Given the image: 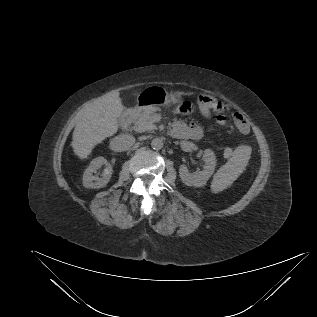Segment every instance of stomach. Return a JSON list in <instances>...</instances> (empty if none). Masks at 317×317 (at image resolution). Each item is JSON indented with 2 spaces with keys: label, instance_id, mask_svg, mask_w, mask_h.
<instances>
[{
  "label": "stomach",
  "instance_id": "1",
  "mask_svg": "<svg viewBox=\"0 0 317 317\" xmlns=\"http://www.w3.org/2000/svg\"><path fill=\"white\" fill-rule=\"evenodd\" d=\"M183 92L175 91L168 93L160 86H150L143 89L137 96V106L149 108L157 106H167L169 104L181 103Z\"/></svg>",
  "mask_w": 317,
  "mask_h": 317
}]
</instances>
